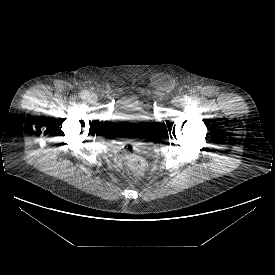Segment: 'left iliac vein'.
Returning a JSON list of instances; mask_svg holds the SVG:
<instances>
[{"label": "left iliac vein", "mask_w": 275, "mask_h": 275, "mask_svg": "<svg viewBox=\"0 0 275 275\" xmlns=\"http://www.w3.org/2000/svg\"><path fill=\"white\" fill-rule=\"evenodd\" d=\"M172 102L175 106H180L184 103V99L180 96H176L175 98H173Z\"/></svg>", "instance_id": "1"}]
</instances>
